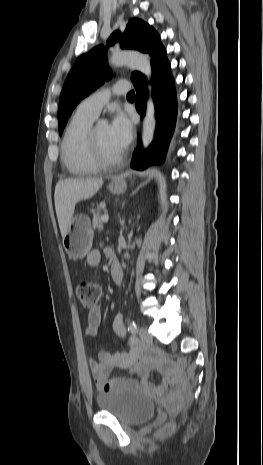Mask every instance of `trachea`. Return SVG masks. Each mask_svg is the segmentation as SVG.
Here are the masks:
<instances>
[{
    "label": "trachea",
    "instance_id": "trachea-1",
    "mask_svg": "<svg viewBox=\"0 0 263 465\" xmlns=\"http://www.w3.org/2000/svg\"><path fill=\"white\" fill-rule=\"evenodd\" d=\"M134 96H135L134 91H131V92H129V93L127 94V97H129V98H134Z\"/></svg>",
    "mask_w": 263,
    "mask_h": 465
}]
</instances>
